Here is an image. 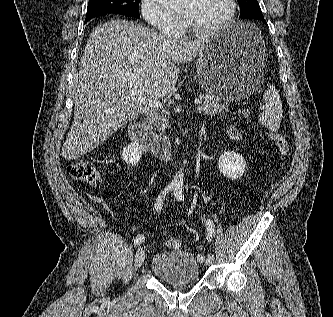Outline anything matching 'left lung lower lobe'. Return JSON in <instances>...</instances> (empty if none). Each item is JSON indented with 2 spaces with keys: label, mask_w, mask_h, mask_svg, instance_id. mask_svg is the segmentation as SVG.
Returning a JSON list of instances; mask_svg holds the SVG:
<instances>
[{
  "label": "left lung lower lobe",
  "mask_w": 333,
  "mask_h": 317,
  "mask_svg": "<svg viewBox=\"0 0 333 317\" xmlns=\"http://www.w3.org/2000/svg\"><path fill=\"white\" fill-rule=\"evenodd\" d=\"M258 20H260V21L266 23V21L264 20V17H263V18H260V19H258Z\"/></svg>",
  "instance_id": "left-lung-lower-lobe-1"
}]
</instances>
